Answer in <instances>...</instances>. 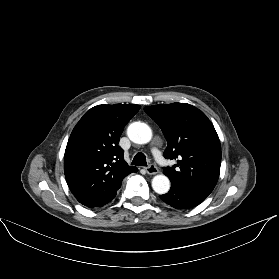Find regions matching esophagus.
<instances>
[{"label": "esophagus", "mask_w": 279, "mask_h": 279, "mask_svg": "<svg viewBox=\"0 0 279 279\" xmlns=\"http://www.w3.org/2000/svg\"><path fill=\"white\" fill-rule=\"evenodd\" d=\"M145 171L150 175H154V174H157L159 172L158 168L153 164H150V165L146 166Z\"/></svg>", "instance_id": "34e87169"}]
</instances>
